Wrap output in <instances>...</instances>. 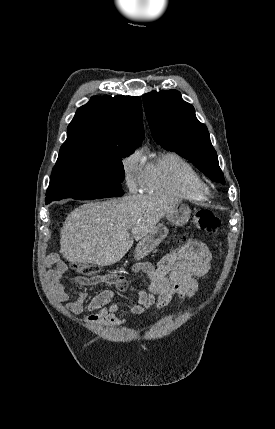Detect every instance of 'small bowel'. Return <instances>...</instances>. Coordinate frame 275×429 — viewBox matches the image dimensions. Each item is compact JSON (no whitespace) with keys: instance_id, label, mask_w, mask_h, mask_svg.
Segmentation results:
<instances>
[{"instance_id":"obj_1","label":"small bowel","mask_w":275,"mask_h":429,"mask_svg":"<svg viewBox=\"0 0 275 429\" xmlns=\"http://www.w3.org/2000/svg\"><path fill=\"white\" fill-rule=\"evenodd\" d=\"M211 264V253L201 241H193L179 249L165 255L156 266L149 262H139L132 266L133 272H143L149 285L146 290L138 293L135 303L126 305L132 314H142L150 308L161 309L167 306L174 296L181 302L193 297L198 291L196 278H205ZM65 264L57 262L52 274L51 292L54 298L65 303V308L73 314H80L84 310L90 314L84 319L90 324L120 325L124 319L116 316L120 303L114 301L115 293L104 290L88 301L87 294L82 286L96 283L115 285L120 291L127 288V279L124 275L110 273L94 279L75 277L73 283L78 287L77 299L68 301V293L62 283Z\"/></svg>"}]
</instances>
